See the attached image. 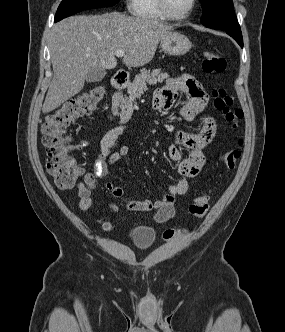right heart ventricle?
Here are the masks:
<instances>
[{
  "label": "right heart ventricle",
  "instance_id": "1",
  "mask_svg": "<svg viewBox=\"0 0 285 332\" xmlns=\"http://www.w3.org/2000/svg\"><path fill=\"white\" fill-rule=\"evenodd\" d=\"M131 11L134 16L144 20L162 21L166 19L159 9L157 0H132Z\"/></svg>",
  "mask_w": 285,
  "mask_h": 332
}]
</instances>
